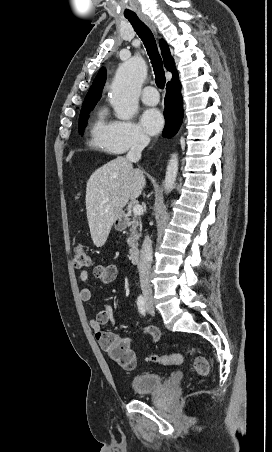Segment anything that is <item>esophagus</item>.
Returning a JSON list of instances; mask_svg holds the SVG:
<instances>
[{"label":"esophagus","mask_w":272,"mask_h":452,"mask_svg":"<svg viewBox=\"0 0 272 452\" xmlns=\"http://www.w3.org/2000/svg\"><path fill=\"white\" fill-rule=\"evenodd\" d=\"M141 19L154 31L156 32L155 26L151 23V21L144 15H141Z\"/></svg>","instance_id":"obj_1"}]
</instances>
